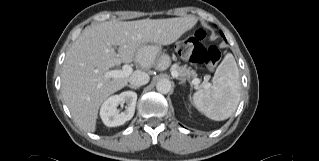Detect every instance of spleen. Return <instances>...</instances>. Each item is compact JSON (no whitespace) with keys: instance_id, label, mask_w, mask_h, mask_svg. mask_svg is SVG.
I'll return each instance as SVG.
<instances>
[{"instance_id":"spleen-1","label":"spleen","mask_w":319,"mask_h":161,"mask_svg":"<svg viewBox=\"0 0 319 161\" xmlns=\"http://www.w3.org/2000/svg\"><path fill=\"white\" fill-rule=\"evenodd\" d=\"M241 94V82L236 61L228 53L214 74L212 84L193 95L195 107L215 121L228 119L236 110Z\"/></svg>"}]
</instances>
